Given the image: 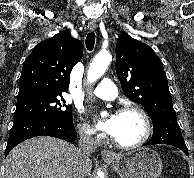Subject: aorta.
Returning <instances> with one entry per match:
<instances>
[{
	"mask_svg": "<svg viewBox=\"0 0 194 178\" xmlns=\"http://www.w3.org/2000/svg\"><path fill=\"white\" fill-rule=\"evenodd\" d=\"M110 61L111 55L109 52L101 51L100 53H98L89 66L87 74L88 82L93 83L98 78H100L107 69ZM97 178H103V175L101 173H98Z\"/></svg>",
	"mask_w": 194,
	"mask_h": 178,
	"instance_id": "762f6f07",
	"label": "aorta"
}]
</instances>
